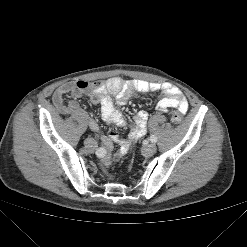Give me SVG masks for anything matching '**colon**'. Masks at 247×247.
<instances>
[{"instance_id":"colon-1","label":"colon","mask_w":247,"mask_h":247,"mask_svg":"<svg viewBox=\"0 0 247 247\" xmlns=\"http://www.w3.org/2000/svg\"><path fill=\"white\" fill-rule=\"evenodd\" d=\"M89 86L92 88H98L100 86L99 82H92L89 83ZM171 121L176 124L179 125L182 122V116L178 111H174L171 113Z\"/></svg>"}]
</instances>
